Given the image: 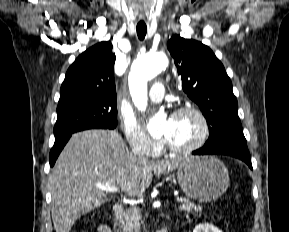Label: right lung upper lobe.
<instances>
[{
  "label": "right lung upper lobe",
  "mask_w": 289,
  "mask_h": 232,
  "mask_svg": "<svg viewBox=\"0 0 289 232\" xmlns=\"http://www.w3.org/2000/svg\"><path fill=\"white\" fill-rule=\"evenodd\" d=\"M115 59L109 41L98 43L83 52L67 70L58 105L81 98L117 101Z\"/></svg>",
  "instance_id": "cb5924a9"
}]
</instances>
